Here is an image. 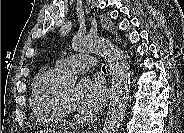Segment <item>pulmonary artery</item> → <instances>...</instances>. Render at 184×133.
Here are the masks:
<instances>
[{"mask_svg":"<svg viewBox=\"0 0 184 133\" xmlns=\"http://www.w3.org/2000/svg\"><path fill=\"white\" fill-rule=\"evenodd\" d=\"M56 68L61 73H82L89 68H96L94 58L87 54H75L61 59L56 63Z\"/></svg>","mask_w":184,"mask_h":133,"instance_id":"pulmonary-artery-1","label":"pulmonary artery"}]
</instances>
